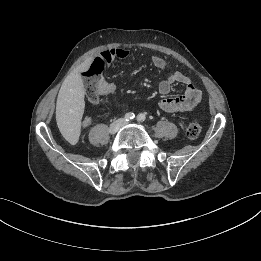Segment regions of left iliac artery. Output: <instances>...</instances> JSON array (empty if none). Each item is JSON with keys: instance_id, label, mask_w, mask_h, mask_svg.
Instances as JSON below:
<instances>
[{"instance_id": "obj_1", "label": "left iliac artery", "mask_w": 261, "mask_h": 261, "mask_svg": "<svg viewBox=\"0 0 261 261\" xmlns=\"http://www.w3.org/2000/svg\"><path fill=\"white\" fill-rule=\"evenodd\" d=\"M145 119H146V117H145V115L142 114V113L137 116V121H138V122H144Z\"/></svg>"}]
</instances>
